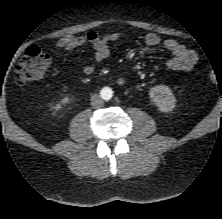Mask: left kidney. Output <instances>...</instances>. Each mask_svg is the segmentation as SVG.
<instances>
[{"label":"left kidney","mask_w":222,"mask_h":219,"mask_svg":"<svg viewBox=\"0 0 222 219\" xmlns=\"http://www.w3.org/2000/svg\"><path fill=\"white\" fill-rule=\"evenodd\" d=\"M149 96L161 112H170L176 106V98L166 85H157L150 89Z\"/></svg>","instance_id":"1"}]
</instances>
